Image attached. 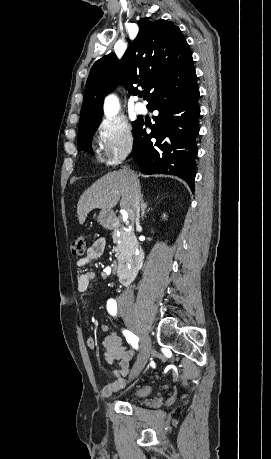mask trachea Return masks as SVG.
<instances>
[{"label": "trachea", "instance_id": "1", "mask_svg": "<svg viewBox=\"0 0 271 459\" xmlns=\"http://www.w3.org/2000/svg\"><path fill=\"white\" fill-rule=\"evenodd\" d=\"M140 95H141V96H142V95H144V92H141V94H140Z\"/></svg>", "mask_w": 271, "mask_h": 459}]
</instances>
